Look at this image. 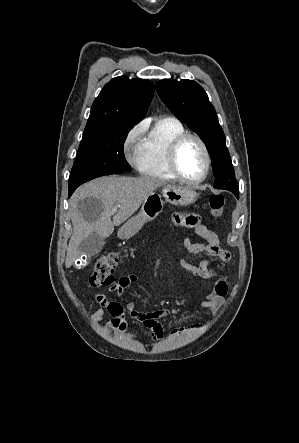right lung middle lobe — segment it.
Instances as JSON below:
<instances>
[{
	"label": "right lung middle lobe",
	"instance_id": "1",
	"mask_svg": "<svg viewBox=\"0 0 299 443\" xmlns=\"http://www.w3.org/2000/svg\"><path fill=\"white\" fill-rule=\"evenodd\" d=\"M133 125H119L84 133L69 178V188L94 178L131 171L123 143Z\"/></svg>",
	"mask_w": 299,
	"mask_h": 443
}]
</instances>
